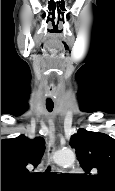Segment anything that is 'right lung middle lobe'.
<instances>
[{
  "mask_svg": "<svg viewBox=\"0 0 115 191\" xmlns=\"http://www.w3.org/2000/svg\"><path fill=\"white\" fill-rule=\"evenodd\" d=\"M12 190L11 188H1V191Z\"/></svg>",
  "mask_w": 115,
  "mask_h": 191,
  "instance_id": "1",
  "label": "right lung middle lobe"
}]
</instances>
